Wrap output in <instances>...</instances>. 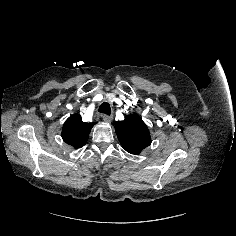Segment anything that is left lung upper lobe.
Returning a JSON list of instances; mask_svg holds the SVG:
<instances>
[{"label": "left lung upper lobe", "mask_w": 236, "mask_h": 236, "mask_svg": "<svg viewBox=\"0 0 236 236\" xmlns=\"http://www.w3.org/2000/svg\"><path fill=\"white\" fill-rule=\"evenodd\" d=\"M115 131L123 149L131 154H139L151 144L149 129L137 114L127 115L123 121H117Z\"/></svg>", "instance_id": "left-lung-upper-lobe-1"}]
</instances>
